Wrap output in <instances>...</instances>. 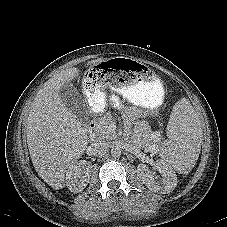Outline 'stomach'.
Segmentation results:
<instances>
[{
    "mask_svg": "<svg viewBox=\"0 0 227 227\" xmlns=\"http://www.w3.org/2000/svg\"><path fill=\"white\" fill-rule=\"evenodd\" d=\"M86 98L91 110L103 109L107 89L121 94L134 105L156 108L162 102L164 90L157 73L131 58L96 60L86 73Z\"/></svg>",
    "mask_w": 227,
    "mask_h": 227,
    "instance_id": "1",
    "label": "stomach"
}]
</instances>
